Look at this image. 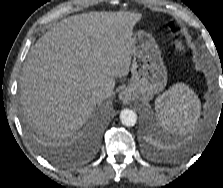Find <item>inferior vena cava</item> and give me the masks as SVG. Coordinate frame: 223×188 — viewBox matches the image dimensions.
I'll return each instance as SVG.
<instances>
[{"label": "inferior vena cava", "instance_id": "602c4592", "mask_svg": "<svg viewBox=\"0 0 223 188\" xmlns=\"http://www.w3.org/2000/svg\"><path fill=\"white\" fill-rule=\"evenodd\" d=\"M110 93L107 89H95L91 92V100L94 104L101 103L104 99L109 97Z\"/></svg>", "mask_w": 223, "mask_h": 188}]
</instances>
